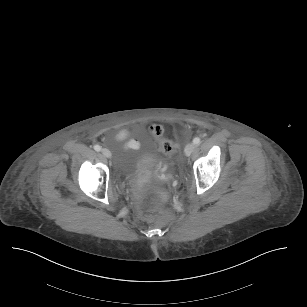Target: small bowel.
Masks as SVG:
<instances>
[{"label":"small bowel","mask_w":307,"mask_h":307,"mask_svg":"<svg viewBox=\"0 0 307 307\" xmlns=\"http://www.w3.org/2000/svg\"><path fill=\"white\" fill-rule=\"evenodd\" d=\"M129 136V132L128 130L126 129H122L120 130L117 135H116V138L117 140L119 141H123V140H126ZM139 145L138 141L134 140V139H131V140H128L126 142V147L127 148H137Z\"/></svg>","instance_id":"1"}]
</instances>
